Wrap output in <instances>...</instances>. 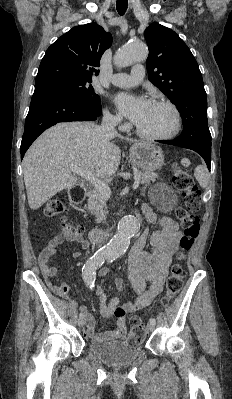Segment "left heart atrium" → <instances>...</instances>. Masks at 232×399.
<instances>
[{"instance_id": "1", "label": "left heart atrium", "mask_w": 232, "mask_h": 399, "mask_svg": "<svg viewBox=\"0 0 232 399\" xmlns=\"http://www.w3.org/2000/svg\"><path fill=\"white\" fill-rule=\"evenodd\" d=\"M116 104L119 111L135 124L144 117L150 106L148 102L137 101L127 95H119Z\"/></svg>"}]
</instances>
